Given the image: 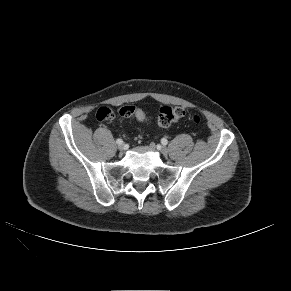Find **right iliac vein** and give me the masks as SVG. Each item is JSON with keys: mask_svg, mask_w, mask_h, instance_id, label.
<instances>
[{"mask_svg": "<svg viewBox=\"0 0 291 291\" xmlns=\"http://www.w3.org/2000/svg\"><path fill=\"white\" fill-rule=\"evenodd\" d=\"M118 149H119L120 151H123V150L125 149L124 144H120V145H118Z\"/></svg>", "mask_w": 291, "mask_h": 291, "instance_id": "1", "label": "right iliac vein"}]
</instances>
